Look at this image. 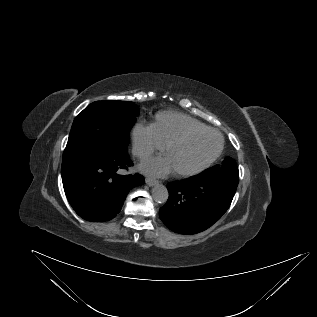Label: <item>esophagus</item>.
Listing matches in <instances>:
<instances>
[{"mask_svg":"<svg viewBox=\"0 0 317 317\" xmlns=\"http://www.w3.org/2000/svg\"><path fill=\"white\" fill-rule=\"evenodd\" d=\"M146 184L150 187L156 185L158 183L157 180L153 179V178H150V177H147L146 180H145Z\"/></svg>","mask_w":317,"mask_h":317,"instance_id":"obj_1","label":"esophagus"}]
</instances>
